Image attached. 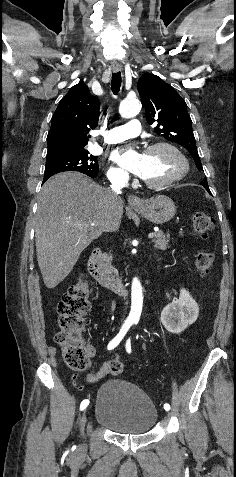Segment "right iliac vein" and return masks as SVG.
<instances>
[{"instance_id": "obj_1", "label": "right iliac vein", "mask_w": 236, "mask_h": 477, "mask_svg": "<svg viewBox=\"0 0 236 477\" xmlns=\"http://www.w3.org/2000/svg\"><path fill=\"white\" fill-rule=\"evenodd\" d=\"M88 412H89V409H88V408H85V409H84V412H83V414H82V416H81V418H80L81 430L83 429V426H84V424H85L86 417H88V415H89ZM85 447H86L85 444H83V445L81 446L82 449H85Z\"/></svg>"}]
</instances>
